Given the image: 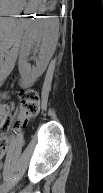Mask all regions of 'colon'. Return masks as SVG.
<instances>
[{
    "mask_svg": "<svg viewBox=\"0 0 103 193\" xmlns=\"http://www.w3.org/2000/svg\"><path fill=\"white\" fill-rule=\"evenodd\" d=\"M20 99V124L25 123L28 119L38 115L40 111L39 93L34 89H25L18 93ZM1 136H0V153L5 154L10 144L9 129L12 124V116L8 108L3 105L0 115Z\"/></svg>",
    "mask_w": 103,
    "mask_h": 193,
    "instance_id": "1",
    "label": "colon"
}]
</instances>
